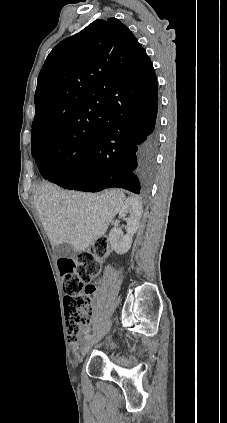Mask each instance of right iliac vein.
I'll list each match as a JSON object with an SVG mask.
<instances>
[{
    "instance_id": "right-iliac-vein-1",
    "label": "right iliac vein",
    "mask_w": 227,
    "mask_h": 423,
    "mask_svg": "<svg viewBox=\"0 0 227 423\" xmlns=\"http://www.w3.org/2000/svg\"><path fill=\"white\" fill-rule=\"evenodd\" d=\"M109 327H110V321L106 323L104 328L96 336L88 339L85 342L83 350H82V356L79 359L80 362H82L83 356L88 352V350L106 335L107 331L109 330Z\"/></svg>"
}]
</instances>
